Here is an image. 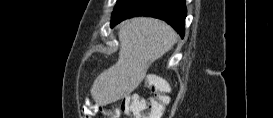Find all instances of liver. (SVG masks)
<instances>
[{
	"label": "liver",
	"mask_w": 273,
	"mask_h": 118,
	"mask_svg": "<svg viewBox=\"0 0 273 118\" xmlns=\"http://www.w3.org/2000/svg\"><path fill=\"white\" fill-rule=\"evenodd\" d=\"M118 37V61L103 71L91 88L92 98L103 106L133 92L149 66L174 46L177 34L160 20L136 17L121 25Z\"/></svg>",
	"instance_id": "6515ba94"
}]
</instances>
